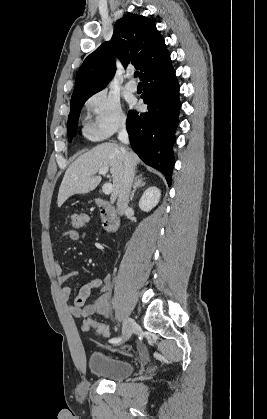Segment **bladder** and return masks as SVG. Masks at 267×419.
<instances>
[{
    "label": "bladder",
    "mask_w": 267,
    "mask_h": 419,
    "mask_svg": "<svg viewBox=\"0 0 267 419\" xmlns=\"http://www.w3.org/2000/svg\"><path fill=\"white\" fill-rule=\"evenodd\" d=\"M88 368L93 375L112 381L129 377L135 369L131 362L108 356L100 351L90 355Z\"/></svg>",
    "instance_id": "31cf9c89"
}]
</instances>
